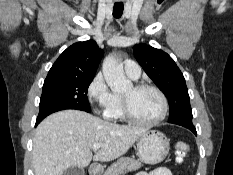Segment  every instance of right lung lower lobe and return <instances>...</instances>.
Segmentation results:
<instances>
[{
    "mask_svg": "<svg viewBox=\"0 0 233 175\" xmlns=\"http://www.w3.org/2000/svg\"><path fill=\"white\" fill-rule=\"evenodd\" d=\"M44 118H37L35 126H37Z\"/></svg>",
    "mask_w": 233,
    "mask_h": 175,
    "instance_id": "right-lung-lower-lobe-1",
    "label": "right lung lower lobe"
}]
</instances>
